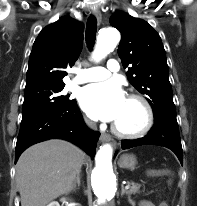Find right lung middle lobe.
Returning <instances> with one entry per match:
<instances>
[{
  "label": "right lung middle lobe",
  "instance_id": "1",
  "mask_svg": "<svg viewBox=\"0 0 197 206\" xmlns=\"http://www.w3.org/2000/svg\"><path fill=\"white\" fill-rule=\"evenodd\" d=\"M64 85H42L26 88L23 102L22 119L43 112L59 110L72 104L69 96L61 95Z\"/></svg>",
  "mask_w": 197,
  "mask_h": 206
}]
</instances>
